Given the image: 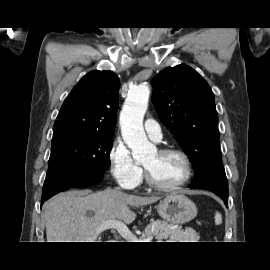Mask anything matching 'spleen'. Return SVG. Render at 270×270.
<instances>
[{
    "instance_id": "1",
    "label": "spleen",
    "mask_w": 270,
    "mask_h": 270,
    "mask_svg": "<svg viewBox=\"0 0 270 270\" xmlns=\"http://www.w3.org/2000/svg\"><path fill=\"white\" fill-rule=\"evenodd\" d=\"M215 223L217 225H220L222 223V216L219 212H216L215 214Z\"/></svg>"
}]
</instances>
